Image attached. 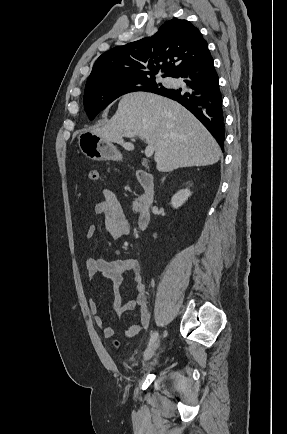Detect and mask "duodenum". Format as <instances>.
<instances>
[{
  "instance_id": "410a0bca",
  "label": "duodenum",
  "mask_w": 287,
  "mask_h": 434,
  "mask_svg": "<svg viewBox=\"0 0 287 434\" xmlns=\"http://www.w3.org/2000/svg\"><path fill=\"white\" fill-rule=\"evenodd\" d=\"M136 176L144 191L139 202L137 224L140 230H145L151 221L150 206L154 199V178L144 170H139Z\"/></svg>"
}]
</instances>
